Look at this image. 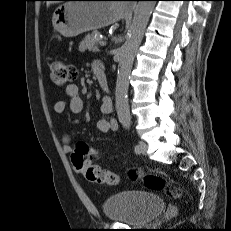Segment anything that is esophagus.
Wrapping results in <instances>:
<instances>
[{
	"label": "esophagus",
	"mask_w": 231,
	"mask_h": 231,
	"mask_svg": "<svg viewBox=\"0 0 231 231\" xmlns=\"http://www.w3.org/2000/svg\"><path fill=\"white\" fill-rule=\"evenodd\" d=\"M123 8L124 9H133V6H131V5H124Z\"/></svg>",
	"instance_id": "1"
}]
</instances>
